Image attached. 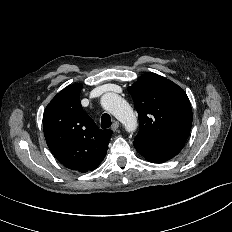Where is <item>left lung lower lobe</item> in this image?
<instances>
[{"label":"left lung lower lobe","instance_id":"obj_1","mask_svg":"<svg viewBox=\"0 0 232 232\" xmlns=\"http://www.w3.org/2000/svg\"><path fill=\"white\" fill-rule=\"evenodd\" d=\"M136 150L149 162L163 163L175 157L184 147L183 141L160 143L133 142Z\"/></svg>","mask_w":232,"mask_h":232}]
</instances>
